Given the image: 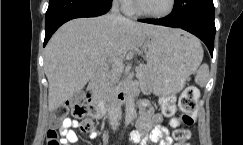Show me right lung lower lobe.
Listing matches in <instances>:
<instances>
[{"instance_id":"obj_1","label":"right lung lower lobe","mask_w":243,"mask_h":145,"mask_svg":"<svg viewBox=\"0 0 243 145\" xmlns=\"http://www.w3.org/2000/svg\"><path fill=\"white\" fill-rule=\"evenodd\" d=\"M112 0H50L46 12L44 46L65 22L79 17H96L111 8Z\"/></svg>"}]
</instances>
